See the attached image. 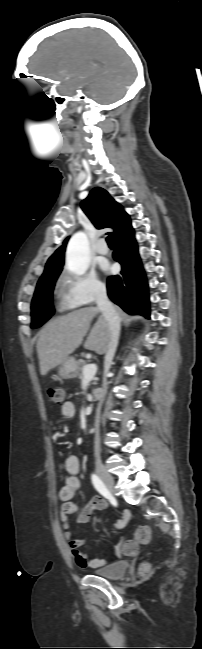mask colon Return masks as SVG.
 I'll return each instance as SVG.
<instances>
[{
    "instance_id": "colon-1",
    "label": "colon",
    "mask_w": 202,
    "mask_h": 649,
    "mask_svg": "<svg viewBox=\"0 0 202 649\" xmlns=\"http://www.w3.org/2000/svg\"><path fill=\"white\" fill-rule=\"evenodd\" d=\"M48 396L51 401L61 404L65 397V392L60 387H51L47 390ZM150 541V529L148 526L141 525L136 528L131 539L123 545V552L125 554H134L140 545H145ZM148 566L141 567V573H148Z\"/></svg>"
}]
</instances>
